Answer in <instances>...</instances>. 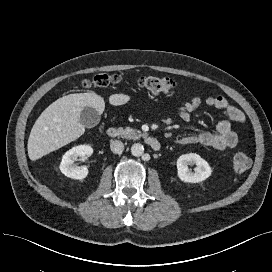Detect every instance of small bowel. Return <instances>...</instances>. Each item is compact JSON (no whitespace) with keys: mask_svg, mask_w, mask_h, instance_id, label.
Here are the masks:
<instances>
[{"mask_svg":"<svg viewBox=\"0 0 272 272\" xmlns=\"http://www.w3.org/2000/svg\"><path fill=\"white\" fill-rule=\"evenodd\" d=\"M203 103L222 110L226 114V118L217 123L215 132L205 131L198 134H188L177 139L176 143L180 145L200 144L218 150L234 148L238 143V135L232 130V123H244L246 119L244 113L223 96H210L205 100L200 96H193L181 105L179 109L180 118L188 122L193 112Z\"/></svg>","mask_w":272,"mask_h":272,"instance_id":"c3829d8e","label":"small bowel"}]
</instances>
